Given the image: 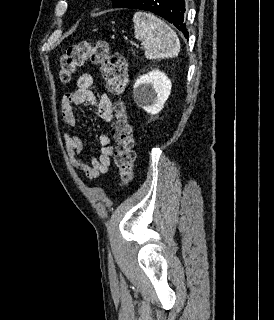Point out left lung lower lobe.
<instances>
[{"mask_svg": "<svg viewBox=\"0 0 274 320\" xmlns=\"http://www.w3.org/2000/svg\"><path fill=\"white\" fill-rule=\"evenodd\" d=\"M122 8H133L153 12L170 23L188 37L184 23V0H130Z\"/></svg>", "mask_w": 274, "mask_h": 320, "instance_id": "0a47b994", "label": "left lung lower lobe"}]
</instances>
